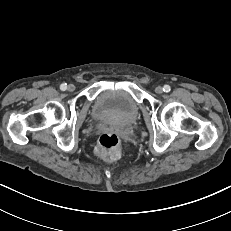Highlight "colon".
Segmentation results:
<instances>
[{
  "label": "colon",
  "mask_w": 231,
  "mask_h": 231,
  "mask_svg": "<svg viewBox=\"0 0 231 231\" xmlns=\"http://www.w3.org/2000/svg\"><path fill=\"white\" fill-rule=\"evenodd\" d=\"M120 139L117 134L104 132L100 135L95 151L105 159H114L119 153Z\"/></svg>",
  "instance_id": "5ec220e1"
}]
</instances>
